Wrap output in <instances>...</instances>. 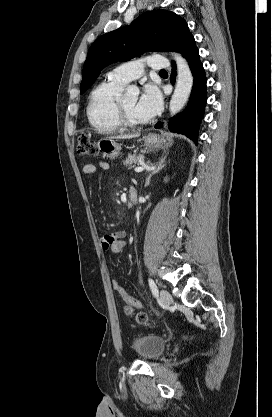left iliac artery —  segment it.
I'll return each instance as SVG.
<instances>
[{
    "mask_svg": "<svg viewBox=\"0 0 272 417\" xmlns=\"http://www.w3.org/2000/svg\"><path fill=\"white\" fill-rule=\"evenodd\" d=\"M148 282H149V286H150V289L152 291V294L155 297H157L158 296V288H157L155 282L152 279H149Z\"/></svg>",
    "mask_w": 272,
    "mask_h": 417,
    "instance_id": "left-iliac-artery-1",
    "label": "left iliac artery"
}]
</instances>
